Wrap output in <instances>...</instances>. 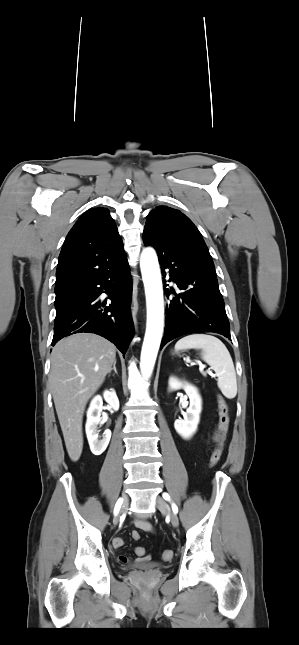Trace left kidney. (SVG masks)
I'll return each mask as SVG.
<instances>
[{
    "label": "left kidney",
    "mask_w": 299,
    "mask_h": 645,
    "mask_svg": "<svg viewBox=\"0 0 299 645\" xmlns=\"http://www.w3.org/2000/svg\"><path fill=\"white\" fill-rule=\"evenodd\" d=\"M170 390L183 389L190 400L189 408L183 414L184 419H177L175 430L184 439H189L196 432L202 409V399L196 387L187 382H181L175 377L169 379Z\"/></svg>",
    "instance_id": "5707ae66"
}]
</instances>
